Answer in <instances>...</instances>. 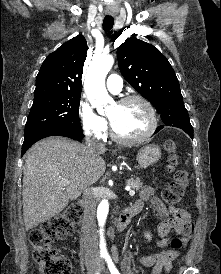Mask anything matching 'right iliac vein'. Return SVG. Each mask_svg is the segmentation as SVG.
<instances>
[{
	"instance_id": "obj_1",
	"label": "right iliac vein",
	"mask_w": 221,
	"mask_h": 274,
	"mask_svg": "<svg viewBox=\"0 0 221 274\" xmlns=\"http://www.w3.org/2000/svg\"><path fill=\"white\" fill-rule=\"evenodd\" d=\"M96 272V267L94 265H90L88 267V273L87 274H95Z\"/></svg>"
}]
</instances>
